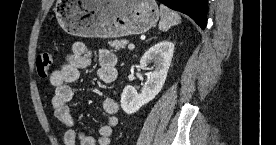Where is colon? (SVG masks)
I'll return each instance as SVG.
<instances>
[{
	"label": "colon",
	"instance_id": "1",
	"mask_svg": "<svg viewBox=\"0 0 276 145\" xmlns=\"http://www.w3.org/2000/svg\"><path fill=\"white\" fill-rule=\"evenodd\" d=\"M53 59L52 55L48 52H42L37 56L36 67L40 77H46L49 75L52 67Z\"/></svg>",
	"mask_w": 276,
	"mask_h": 145
}]
</instances>
